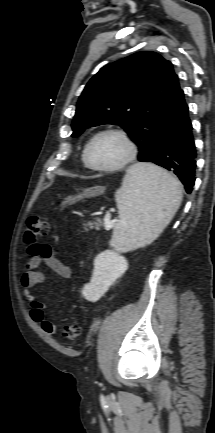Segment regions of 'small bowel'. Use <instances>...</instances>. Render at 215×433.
Here are the masks:
<instances>
[{
    "label": "small bowel",
    "instance_id": "obj_1",
    "mask_svg": "<svg viewBox=\"0 0 215 433\" xmlns=\"http://www.w3.org/2000/svg\"><path fill=\"white\" fill-rule=\"evenodd\" d=\"M29 254L31 258L27 262L26 271L22 275L20 282L30 305L32 319L40 324L46 334L53 336L56 333V327L47 320L45 316L46 306L37 299L32 290L34 287L43 284L46 280V275L42 271L43 267L51 269L63 279L70 278L71 269L60 259L57 250L48 244H35L31 246Z\"/></svg>",
    "mask_w": 215,
    "mask_h": 433
}]
</instances>
